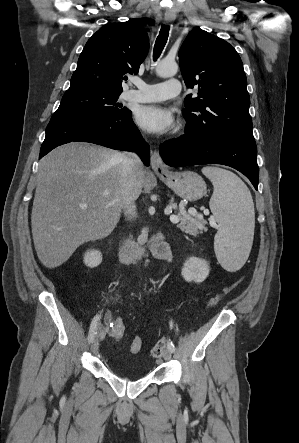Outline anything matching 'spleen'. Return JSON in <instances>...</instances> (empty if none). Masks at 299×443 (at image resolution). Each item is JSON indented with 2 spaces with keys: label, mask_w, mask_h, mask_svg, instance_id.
I'll list each match as a JSON object with an SVG mask.
<instances>
[{
  "label": "spleen",
  "mask_w": 299,
  "mask_h": 443,
  "mask_svg": "<svg viewBox=\"0 0 299 443\" xmlns=\"http://www.w3.org/2000/svg\"><path fill=\"white\" fill-rule=\"evenodd\" d=\"M202 173L214 187L209 206L219 225L215 254L225 270L235 272L245 264L252 246L255 227L252 196L244 182L228 170L208 166Z\"/></svg>",
  "instance_id": "obj_1"
}]
</instances>
